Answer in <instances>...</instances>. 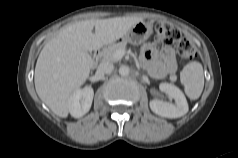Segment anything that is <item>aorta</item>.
Here are the masks:
<instances>
[{
    "instance_id": "obj_1",
    "label": "aorta",
    "mask_w": 238,
    "mask_h": 158,
    "mask_svg": "<svg viewBox=\"0 0 238 158\" xmlns=\"http://www.w3.org/2000/svg\"><path fill=\"white\" fill-rule=\"evenodd\" d=\"M129 72H130V70H129V68L127 67V66H121L120 68H119V74L121 75V76H128L129 75Z\"/></svg>"
}]
</instances>
